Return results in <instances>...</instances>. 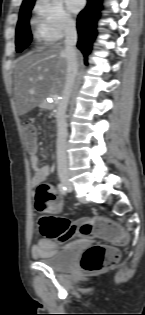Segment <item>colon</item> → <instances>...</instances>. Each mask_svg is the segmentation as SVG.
Segmentation results:
<instances>
[{
	"mask_svg": "<svg viewBox=\"0 0 145 315\" xmlns=\"http://www.w3.org/2000/svg\"><path fill=\"white\" fill-rule=\"evenodd\" d=\"M24 141L28 150L35 151L37 147L36 130L32 123L22 125ZM58 204L57 193L50 183L41 184L36 191V208L42 215L40 229L46 238L65 239L80 235L93 239H104L123 242L125 236L120 227L105 217H89L71 223L68 219L55 215ZM119 258L116 249L101 244L88 247L80 260L81 268L86 272H97L113 266Z\"/></svg>",
	"mask_w": 145,
	"mask_h": 315,
	"instance_id": "5ec220e1",
	"label": "colon"
}]
</instances>
